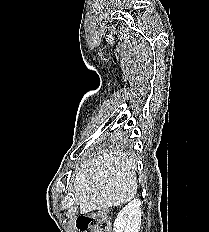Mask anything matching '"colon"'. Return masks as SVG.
<instances>
[{"label":"colon","mask_w":209,"mask_h":232,"mask_svg":"<svg viewBox=\"0 0 209 232\" xmlns=\"http://www.w3.org/2000/svg\"><path fill=\"white\" fill-rule=\"evenodd\" d=\"M81 232H111V216L107 210H97L83 214L77 219Z\"/></svg>","instance_id":"obj_1"}]
</instances>
